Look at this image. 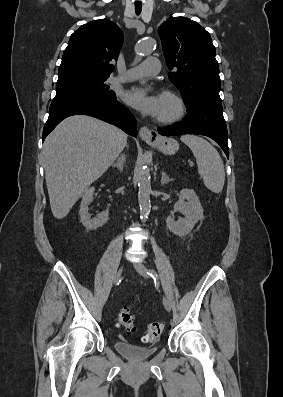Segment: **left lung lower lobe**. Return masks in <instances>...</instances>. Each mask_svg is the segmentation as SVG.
Returning a JSON list of instances; mask_svg holds the SVG:
<instances>
[{"instance_id":"0a47b994","label":"left lung lower lobe","mask_w":283,"mask_h":397,"mask_svg":"<svg viewBox=\"0 0 283 397\" xmlns=\"http://www.w3.org/2000/svg\"><path fill=\"white\" fill-rule=\"evenodd\" d=\"M187 112L181 122L157 128L158 132L163 136L189 133L208 136L220 145L228 157V133L222 110L199 105L188 108Z\"/></svg>"}]
</instances>
